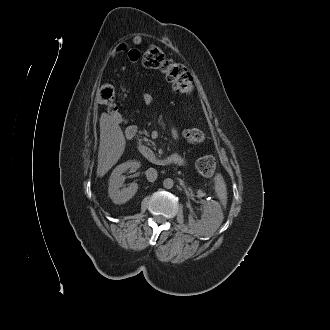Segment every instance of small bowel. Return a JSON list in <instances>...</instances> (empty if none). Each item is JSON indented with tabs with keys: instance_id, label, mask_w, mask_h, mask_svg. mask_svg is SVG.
Returning <instances> with one entry per match:
<instances>
[{
	"instance_id": "obj_1",
	"label": "small bowel",
	"mask_w": 330,
	"mask_h": 330,
	"mask_svg": "<svg viewBox=\"0 0 330 330\" xmlns=\"http://www.w3.org/2000/svg\"><path fill=\"white\" fill-rule=\"evenodd\" d=\"M133 42L135 44H139L141 42V38L140 37H134ZM126 50H127V45L125 43H120V44H118L115 47V49L113 51V54L114 55H118V54H121V53L125 52ZM132 52H135L136 53V56L132 55ZM129 57H130L131 61L136 62L138 60V58H139V51L136 50V49L130 50L129 51ZM141 98H142L143 103L145 105H147V106L151 105L153 103V101H154L153 95L151 93H149V92H144L142 94ZM129 128H131L132 130L135 129L134 126H130ZM178 135H179L178 134V131L177 130H173V136H174V138H178ZM168 160L171 163H174V164H179V165L185 164L184 157H182L179 153H172L169 156Z\"/></svg>"
}]
</instances>
